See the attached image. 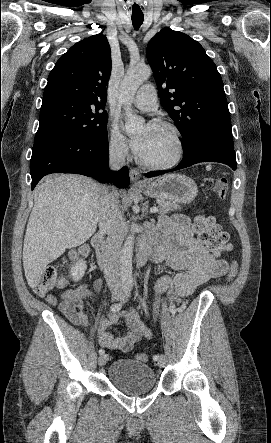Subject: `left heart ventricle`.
<instances>
[{
	"instance_id": "b2bd125f",
	"label": "left heart ventricle",
	"mask_w": 271,
	"mask_h": 443,
	"mask_svg": "<svg viewBox=\"0 0 271 443\" xmlns=\"http://www.w3.org/2000/svg\"><path fill=\"white\" fill-rule=\"evenodd\" d=\"M176 153V142L173 133L163 127L151 125L148 143L141 156L149 161H168Z\"/></svg>"
}]
</instances>
